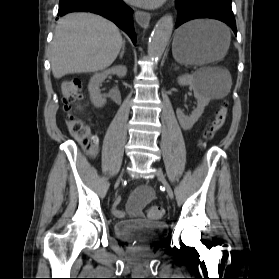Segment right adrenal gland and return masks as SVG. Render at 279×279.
Listing matches in <instances>:
<instances>
[{"label": "right adrenal gland", "mask_w": 279, "mask_h": 279, "mask_svg": "<svg viewBox=\"0 0 279 279\" xmlns=\"http://www.w3.org/2000/svg\"><path fill=\"white\" fill-rule=\"evenodd\" d=\"M124 51H125V41H123L122 51H121L120 56H119V58H120V59H122V58H123Z\"/></svg>", "instance_id": "obj_1"}]
</instances>
